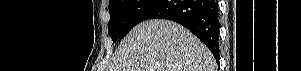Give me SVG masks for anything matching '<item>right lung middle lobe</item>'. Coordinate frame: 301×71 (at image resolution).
Returning a JSON list of instances; mask_svg holds the SVG:
<instances>
[{
  "label": "right lung middle lobe",
  "instance_id": "dd1d6c3e",
  "mask_svg": "<svg viewBox=\"0 0 301 71\" xmlns=\"http://www.w3.org/2000/svg\"><path fill=\"white\" fill-rule=\"evenodd\" d=\"M156 0H109L108 33L115 43L139 23L141 15Z\"/></svg>",
  "mask_w": 301,
  "mask_h": 71
}]
</instances>
